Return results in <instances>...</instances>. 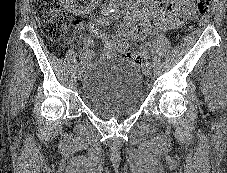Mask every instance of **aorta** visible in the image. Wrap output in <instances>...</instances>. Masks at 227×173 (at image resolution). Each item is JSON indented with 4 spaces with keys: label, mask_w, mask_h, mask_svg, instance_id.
Returning a JSON list of instances; mask_svg holds the SVG:
<instances>
[{
    "label": "aorta",
    "mask_w": 227,
    "mask_h": 173,
    "mask_svg": "<svg viewBox=\"0 0 227 173\" xmlns=\"http://www.w3.org/2000/svg\"><path fill=\"white\" fill-rule=\"evenodd\" d=\"M112 1H115V2H120L121 0H112Z\"/></svg>",
    "instance_id": "aorta-1"
}]
</instances>
